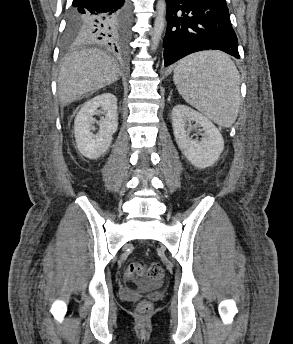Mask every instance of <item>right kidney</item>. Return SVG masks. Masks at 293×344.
I'll return each instance as SVG.
<instances>
[{"instance_id":"1","label":"right kidney","mask_w":293,"mask_h":344,"mask_svg":"<svg viewBox=\"0 0 293 344\" xmlns=\"http://www.w3.org/2000/svg\"><path fill=\"white\" fill-rule=\"evenodd\" d=\"M104 115L96 122L94 115ZM99 131L93 134L92 124ZM118 128L117 98L112 93H103L84 103L74 122V134L79 152L89 158L98 159L109 148L112 135Z\"/></svg>"}]
</instances>
